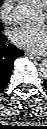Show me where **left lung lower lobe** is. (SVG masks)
<instances>
[{"mask_svg": "<svg viewBox=\"0 0 47 129\" xmlns=\"http://www.w3.org/2000/svg\"><path fill=\"white\" fill-rule=\"evenodd\" d=\"M44 86L47 89V81H44Z\"/></svg>", "mask_w": 47, "mask_h": 129, "instance_id": "obj_1", "label": "left lung lower lobe"}]
</instances>
